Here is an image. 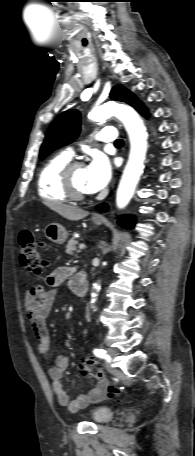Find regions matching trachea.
<instances>
[{
	"label": "trachea",
	"instance_id": "obj_1",
	"mask_svg": "<svg viewBox=\"0 0 195 456\" xmlns=\"http://www.w3.org/2000/svg\"><path fill=\"white\" fill-rule=\"evenodd\" d=\"M123 144V140L122 139H117L115 141V145H122Z\"/></svg>",
	"mask_w": 195,
	"mask_h": 456
}]
</instances>
